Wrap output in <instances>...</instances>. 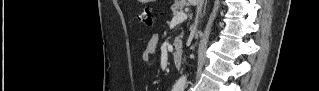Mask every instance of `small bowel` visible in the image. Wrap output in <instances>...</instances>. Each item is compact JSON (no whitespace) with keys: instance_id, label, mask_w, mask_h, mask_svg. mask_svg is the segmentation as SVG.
<instances>
[{"instance_id":"obj_1","label":"small bowel","mask_w":319,"mask_h":91,"mask_svg":"<svg viewBox=\"0 0 319 91\" xmlns=\"http://www.w3.org/2000/svg\"><path fill=\"white\" fill-rule=\"evenodd\" d=\"M157 45H158V37L156 35L151 36L146 48L142 52V61L143 62H145V63L152 62L153 56L156 52Z\"/></svg>"}]
</instances>
